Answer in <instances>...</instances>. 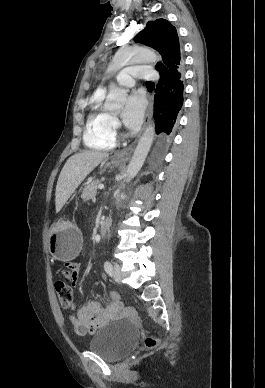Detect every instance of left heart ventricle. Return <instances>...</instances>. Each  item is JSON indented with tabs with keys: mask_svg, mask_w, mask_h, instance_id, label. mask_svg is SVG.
<instances>
[{
	"mask_svg": "<svg viewBox=\"0 0 265 388\" xmlns=\"http://www.w3.org/2000/svg\"><path fill=\"white\" fill-rule=\"evenodd\" d=\"M115 88L117 89V91H127V92H129V91L132 90L133 84L131 86H119L117 84V86H115ZM110 91H112V89H110Z\"/></svg>",
	"mask_w": 265,
	"mask_h": 388,
	"instance_id": "left-heart-ventricle-1",
	"label": "left heart ventricle"
}]
</instances>
